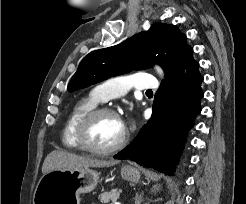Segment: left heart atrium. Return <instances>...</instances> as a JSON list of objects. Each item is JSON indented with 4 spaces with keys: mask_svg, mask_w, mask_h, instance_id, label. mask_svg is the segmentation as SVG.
<instances>
[{
    "mask_svg": "<svg viewBox=\"0 0 246 204\" xmlns=\"http://www.w3.org/2000/svg\"><path fill=\"white\" fill-rule=\"evenodd\" d=\"M123 127H125V121L121 120Z\"/></svg>",
    "mask_w": 246,
    "mask_h": 204,
    "instance_id": "obj_1",
    "label": "left heart atrium"
}]
</instances>
